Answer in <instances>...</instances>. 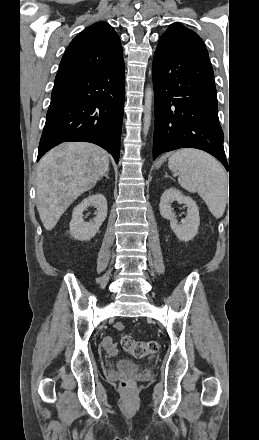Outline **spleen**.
<instances>
[{
	"label": "spleen",
	"instance_id": "obj_1",
	"mask_svg": "<svg viewBox=\"0 0 259 440\" xmlns=\"http://www.w3.org/2000/svg\"><path fill=\"white\" fill-rule=\"evenodd\" d=\"M168 166L179 173L181 187L191 193L197 192L214 217L223 215L227 204L228 179L214 157L196 149H180L170 155Z\"/></svg>",
	"mask_w": 259,
	"mask_h": 440
}]
</instances>
